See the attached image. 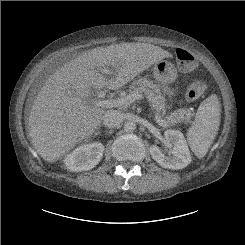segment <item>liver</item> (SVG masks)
Masks as SVG:
<instances>
[{
	"instance_id": "liver-1",
	"label": "liver",
	"mask_w": 245,
	"mask_h": 245,
	"mask_svg": "<svg viewBox=\"0 0 245 245\" xmlns=\"http://www.w3.org/2000/svg\"><path fill=\"white\" fill-rule=\"evenodd\" d=\"M172 55L147 43H121L86 51L56 70L31 107L28 135L48 162L61 159L99 128L105 111L95 106L92 88L117 90L153 64ZM110 66L111 79L101 70Z\"/></svg>"
}]
</instances>
